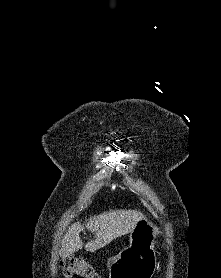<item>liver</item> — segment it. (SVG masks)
Returning a JSON list of instances; mask_svg holds the SVG:
<instances>
[{"label": "liver", "instance_id": "liver-1", "mask_svg": "<svg viewBox=\"0 0 221 278\" xmlns=\"http://www.w3.org/2000/svg\"><path fill=\"white\" fill-rule=\"evenodd\" d=\"M143 218H145L144 215L136 210H111L90 217L85 227L94 234V238L84 245L85 249L94 252L108 245L114 239L131 233L136 224ZM82 230H84V225L79 222L68 228L60 250L63 257L72 255L83 248V242L79 237Z\"/></svg>", "mask_w": 221, "mask_h": 278}]
</instances>
